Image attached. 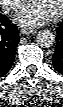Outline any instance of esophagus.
<instances>
[{"instance_id":"34e87169","label":"esophagus","mask_w":63,"mask_h":107,"mask_svg":"<svg viewBox=\"0 0 63 107\" xmlns=\"http://www.w3.org/2000/svg\"><path fill=\"white\" fill-rule=\"evenodd\" d=\"M20 32L24 35H30V34H34L36 33V30L35 29H32V28H22L20 30Z\"/></svg>"}]
</instances>
